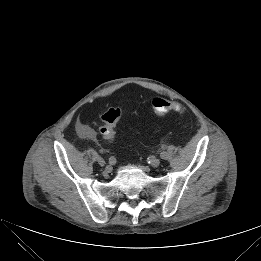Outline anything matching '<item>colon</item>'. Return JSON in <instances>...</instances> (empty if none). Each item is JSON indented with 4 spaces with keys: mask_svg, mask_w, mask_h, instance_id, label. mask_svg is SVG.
Instances as JSON below:
<instances>
[{
    "mask_svg": "<svg viewBox=\"0 0 261 261\" xmlns=\"http://www.w3.org/2000/svg\"><path fill=\"white\" fill-rule=\"evenodd\" d=\"M152 107L155 113L163 116L169 112L176 111L183 113L184 108L176 101L168 100L162 97H154L152 99ZM121 117V111L117 108H111L102 115V126L100 132L107 140H113L115 136V126Z\"/></svg>",
    "mask_w": 261,
    "mask_h": 261,
    "instance_id": "obj_1",
    "label": "colon"
}]
</instances>
